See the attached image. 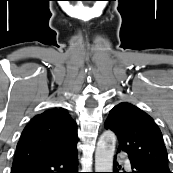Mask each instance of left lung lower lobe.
I'll return each mask as SVG.
<instances>
[{
    "label": "left lung lower lobe",
    "instance_id": "left-lung-lower-lobe-1",
    "mask_svg": "<svg viewBox=\"0 0 173 173\" xmlns=\"http://www.w3.org/2000/svg\"><path fill=\"white\" fill-rule=\"evenodd\" d=\"M131 163L130 173H168L161 168L150 165L148 163L137 161L133 158H129ZM118 163H116V158L114 159V170L113 173H119ZM120 168V167H119Z\"/></svg>",
    "mask_w": 173,
    "mask_h": 173
}]
</instances>
